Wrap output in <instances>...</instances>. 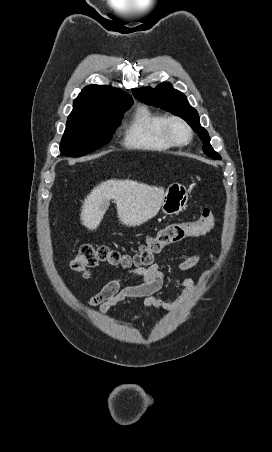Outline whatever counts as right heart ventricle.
Listing matches in <instances>:
<instances>
[{
  "label": "right heart ventricle",
  "mask_w": 272,
  "mask_h": 452,
  "mask_svg": "<svg viewBox=\"0 0 272 452\" xmlns=\"http://www.w3.org/2000/svg\"><path fill=\"white\" fill-rule=\"evenodd\" d=\"M167 115L147 106L139 107L124 129L123 143L130 149L165 151L173 147L164 133Z\"/></svg>",
  "instance_id": "e07e8e85"
}]
</instances>
